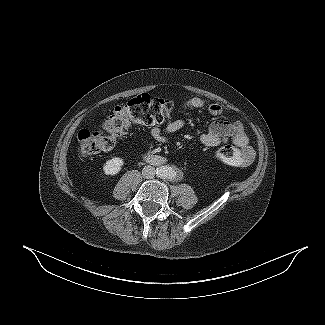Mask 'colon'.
<instances>
[{"mask_svg": "<svg viewBox=\"0 0 325 325\" xmlns=\"http://www.w3.org/2000/svg\"><path fill=\"white\" fill-rule=\"evenodd\" d=\"M174 103L169 99L141 94L116 106L106 116L100 130L82 129L78 133V152L90 156L114 147L118 139L127 133L132 125L161 124L170 117ZM217 160L243 166L247 164L245 153L231 145L220 147L215 152Z\"/></svg>", "mask_w": 325, "mask_h": 325, "instance_id": "obj_1", "label": "colon"}]
</instances>
